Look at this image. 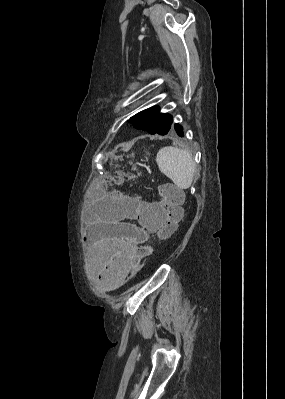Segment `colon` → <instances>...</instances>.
<instances>
[{
	"label": "colon",
	"instance_id": "colon-1",
	"mask_svg": "<svg viewBox=\"0 0 285 399\" xmlns=\"http://www.w3.org/2000/svg\"><path fill=\"white\" fill-rule=\"evenodd\" d=\"M110 181V179H108ZM159 193L162 197L161 208L167 214V222L160 229L158 236L160 239L168 238L175 230L181 216V192L174 186L162 185L159 186ZM123 195V193H119ZM152 247L150 244H143L135 249V256L133 260V268L135 271H140L142 268V261L145 257L150 255Z\"/></svg>",
	"mask_w": 285,
	"mask_h": 399
}]
</instances>
